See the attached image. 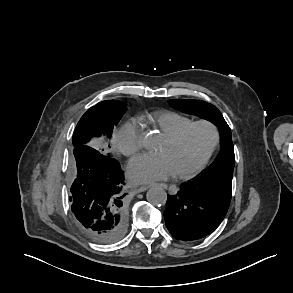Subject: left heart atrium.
<instances>
[{"label": "left heart atrium", "instance_id": "left-heart-atrium-1", "mask_svg": "<svg viewBox=\"0 0 293 293\" xmlns=\"http://www.w3.org/2000/svg\"><path fill=\"white\" fill-rule=\"evenodd\" d=\"M175 174L170 159L161 154L153 156L142 154L133 158L128 164V175L135 183H152L166 180Z\"/></svg>", "mask_w": 293, "mask_h": 293}]
</instances>
